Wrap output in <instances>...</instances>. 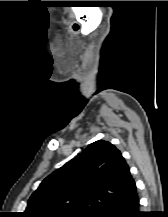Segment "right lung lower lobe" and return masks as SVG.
<instances>
[{"label": "right lung lower lobe", "instance_id": "obj_1", "mask_svg": "<svg viewBox=\"0 0 168 217\" xmlns=\"http://www.w3.org/2000/svg\"><path fill=\"white\" fill-rule=\"evenodd\" d=\"M139 207V196L136 191L125 199L111 203L96 217H144Z\"/></svg>", "mask_w": 168, "mask_h": 217}]
</instances>
